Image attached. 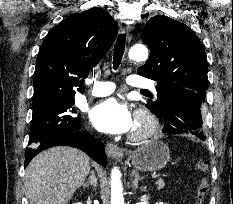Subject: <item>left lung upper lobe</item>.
Listing matches in <instances>:
<instances>
[{
	"instance_id": "left-lung-upper-lobe-1",
	"label": "left lung upper lobe",
	"mask_w": 233,
	"mask_h": 204,
	"mask_svg": "<svg viewBox=\"0 0 233 204\" xmlns=\"http://www.w3.org/2000/svg\"><path fill=\"white\" fill-rule=\"evenodd\" d=\"M141 39L149 46L150 57L137 73L157 81V99L148 100L146 104L151 112L159 111L162 103L176 92L206 93V54L201 41L188 26L157 15L147 21Z\"/></svg>"
}]
</instances>
